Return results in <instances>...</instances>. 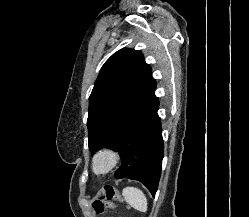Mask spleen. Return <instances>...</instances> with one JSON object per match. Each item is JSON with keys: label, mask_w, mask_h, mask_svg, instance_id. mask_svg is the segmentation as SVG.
Masks as SVG:
<instances>
[{"label": "spleen", "mask_w": 249, "mask_h": 217, "mask_svg": "<svg viewBox=\"0 0 249 217\" xmlns=\"http://www.w3.org/2000/svg\"><path fill=\"white\" fill-rule=\"evenodd\" d=\"M125 201L138 211H147V198L142 190L136 187H126L122 193Z\"/></svg>", "instance_id": "obj_1"}]
</instances>
